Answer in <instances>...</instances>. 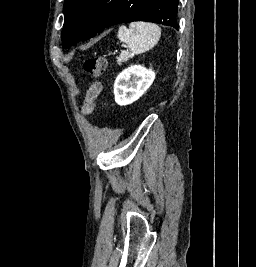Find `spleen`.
Returning a JSON list of instances; mask_svg holds the SVG:
<instances>
[{"label": "spleen", "mask_w": 256, "mask_h": 267, "mask_svg": "<svg viewBox=\"0 0 256 267\" xmlns=\"http://www.w3.org/2000/svg\"><path fill=\"white\" fill-rule=\"evenodd\" d=\"M161 28L149 22H131L129 28L120 26L117 38L124 42L131 54H144L152 50L159 42Z\"/></svg>", "instance_id": "3e777b00"}]
</instances>
